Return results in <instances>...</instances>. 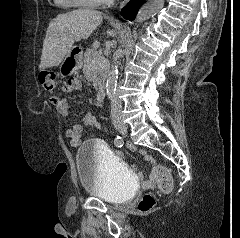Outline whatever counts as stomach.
<instances>
[{
  "label": "stomach",
  "mask_w": 240,
  "mask_h": 238,
  "mask_svg": "<svg viewBox=\"0 0 240 238\" xmlns=\"http://www.w3.org/2000/svg\"><path fill=\"white\" fill-rule=\"evenodd\" d=\"M82 55L83 52L79 46H72L60 64V75L67 77L79 70L82 67Z\"/></svg>",
  "instance_id": "0dacf381"
}]
</instances>
